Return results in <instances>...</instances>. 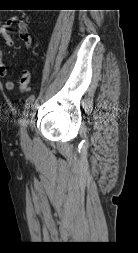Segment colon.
<instances>
[{"label": "colon", "instance_id": "1", "mask_svg": "<svg viewBox=\"0 0 138 253\" xmlns=\"http://www.w3.org/2000/svg\"><path fill=\"white\" fill-rule=\"evenodd\" d=\"M32 87V76L29 70H25L19 80V91L21 93L28 92Z\"/></svg>", "mask_w": 138, "mask_h": 253}]
</instances>
